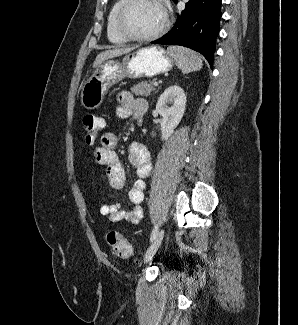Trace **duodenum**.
Listing matches in <instances>:
<instances>
[{"mask_svg": "<svg viewBox=\"0 0 298 325\" xmlns=\"http://www.w3.org/2000/svg\"><path fill=\"white\" fill-rule=\"evenodd\" d=\"M147 109H148V107H147L146 103H143V102L138 103L134 110V114H135L136 118L141 120L145 116Z\"/></svg>", "mask_w": 298, "mask_h": 325, "instance_id": "duodenum-1", "label": "duodenum"}]
</instances>
